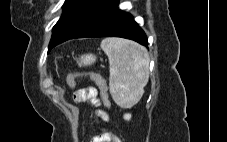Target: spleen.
<instances>
[{
	"instance_id": "1",
	"label": "spleen",
	"mask_w": 227,
	"mask_h": 142,
	"mask_svg": "<svg viewBox=\"0 0 227 142\" xmlns=\"http://www.w3.org/2000/svg\"><path fill=\"white\" fill-rule=\"evenodd\" d=\"M101 48L109 59V89L122 108L135 105L149 80V56L143 46L121 38H106Z\"/></svg>"
}]
</instances>
